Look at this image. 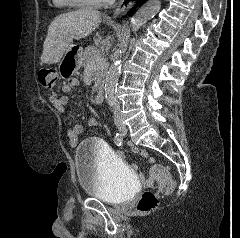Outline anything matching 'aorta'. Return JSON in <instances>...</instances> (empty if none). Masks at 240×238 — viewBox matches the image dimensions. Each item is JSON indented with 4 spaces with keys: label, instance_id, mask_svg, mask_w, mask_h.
I'll return each mask as SVG.
<instances>
[{
    "label": "aorta",
    "instance_id": "762f6f07",
    "mask_svg": "<svg viewBox=\"0 0 240 238\" xmlns=\"http://www.w3.org/2000/svg\"><path fill=\"white\" fill-rule=\"evenodd\" d=\"M161 0H148L131 18V31L136 32L160 10ZM121 59L116 58L106 76L105 97L110 106L117 100V84L121 71Z\"/></svg>",
    "mask_w": 240,
    "mask_h": 238
}]
</instances>
